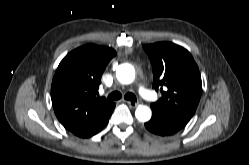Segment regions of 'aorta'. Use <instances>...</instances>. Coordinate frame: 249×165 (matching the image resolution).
Wrapping results in <instances>:
<instances>
[{
  "label": "aorta",
  "mask_w": 249,
  "mask_h": 165,
  "mask_svg": "<svg viewBox=\"0 0 249 165\" xmlns=\"http://www.w3.org/2000/svg\"><path fill=\"white\" fill-rule=\"evenodd\" d=\"M116 77L119 82L130 84L135 79V70L132 66H120L116 71ZM151 115V109L144 105H140L135 111V116L140 122L149 121Z\"/></svg>",
  "instance_id": "obj_1"
}]
</instances>
